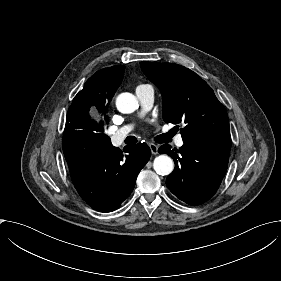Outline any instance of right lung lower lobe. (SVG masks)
Here are the masks:
<instances>
[{
    "instance_id": "98d812e1",
    "label": "right lung lower lobe",
    "mask_w": 281,
    "mask_h": 281,
    "mask_svg": "<svg viewBox=\"0 0 281 281\" xmlns=\"http://www.w3.org/2000/svg\"><path fill=\"white\" fill-rule=\"evenodd\" d=\"M62 148L81 198L93 209L111 212L131 194L150 158L146 143L126 146L123 154L103 131H64Z\"/></svg>"
}]
</instances>
